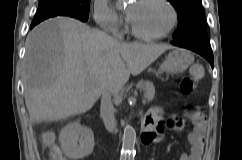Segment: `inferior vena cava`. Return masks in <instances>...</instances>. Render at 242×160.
I'll return each instance as SVG.
<instances>
[{
    "mask_svg": "<svg viewBox=\"0 0 242 160\" xmlns=\"http://www.w3.org/2000/svg\"><path fill=\"white\" fill-rule=\"evenodd\" d=\"M100 116L106 129L116 133L115 108L111 99V90L107 84H103L101 88Z\"/></svg>",
    "mask_w": 242,
    "mask_h": 160,
    "instance_id": "602c4592",
    "label": "inferior vena cava"
}]
</instances>
